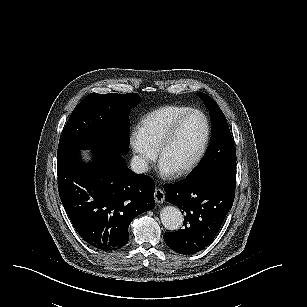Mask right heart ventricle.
<instances>
[{
	"mask_svg": "<svg viewBox=\"0 0 307 307\" xmlns=\"http://www.w3.org/2000/svg\"><path fill=\"white\" fill-rule=\"evenodd\" d=\"M184 109L174 107H164L153 111L149 119L145 120L140 131L136 136L142 137L146 142H149L153 147L164 144V133L171 128V125L179 119V114Z\"/></svg>",
	"mask_w": 307,
	"mask_h": 307,
	"instance_id": "right-heart-ventricle-1",
	"label": "right heart ventricle"
}]
</instances>
